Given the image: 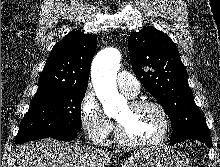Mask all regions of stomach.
<instances>
[{
	"mask_svg": "<svg viewBox=\"0 0 220 167\" xmlns=\"http://www.w3.org/2000/svg\"><path fill=\"white\" fill-rule=\"evenodd\" d=\"M122 167H191L189 159L168 147L143 149L133 153Z\"/></svg>",
	"mask_w": 220,
	"mask_h": 167,
	"instance_id": "1",
	"label": "stomach"
}]
</instances>
